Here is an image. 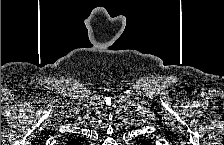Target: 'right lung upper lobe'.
<instances>
[{
    "instance_id": "1",
    "label": "right lung upper lobe",
    "mask_w": 224,
    "mask_h": 145,
    "mask_svg": "<svg viewBox=\"0 0 224 145\" xmlns=\"http://www.w3.org/2000/svg\"><path fill=\"white\" fill-rule=\"evenodd\" d=\"M77 141V139L72 138L69 140V142L67 143V145H74L73 142Z\"/></svg>"
}]
</instances>
